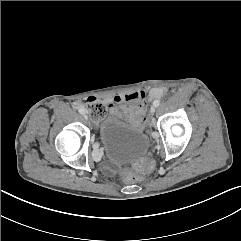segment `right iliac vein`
Here are the masks:
<instances>
[{
    "mask_svg": "<svg viewBox=\"0 0 241 241\" xmlns=\"http://www.w3.org/2000/svg\"><path fill=\"white\" fill-rule=\"evenodd\" d=\"M84 118L88 119V115L86 113H84ZM95 155H98V151H95Z\"/></svg>",
    "mask_w": 241,
    "mask_h": 241,
    "instance_id": "right-iliac-vein-1",
    "label": "right iliac vein"
}]
</instances>
